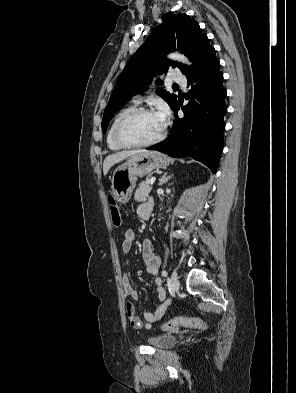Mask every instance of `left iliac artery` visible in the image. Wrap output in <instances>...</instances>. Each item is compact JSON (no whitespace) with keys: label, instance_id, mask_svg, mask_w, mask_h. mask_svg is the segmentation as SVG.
<instances>
[{"label":"left iliac artery","instance_id":"left-iliac-artery-1","mask_svg":"<svg viewBox=\"0 0 296 393\" xmlns=\"http://www.w3.org/2000/svg\"><path fill=\"white\" fill-rule=\"evenodd\" d=\"M167 275H168V272L166 270H163L162 271V276L167 277Z\"/></svg>","mask_w":296,"mask_h":393}]
</instances>
